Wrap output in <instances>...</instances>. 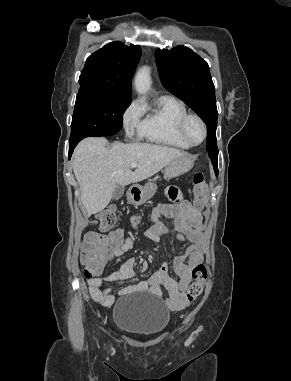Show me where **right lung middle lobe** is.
<instances>
[{
    "label": "right lung middle lobe",
    "mask_w": 291,
    "mask_h": 381,
    "mask_svg": "<svg viewBox=\"0 0 291 381\" xmlns=\"http://www.w3.org/2000/svg\"><path fill=\"white\" fill-rule=\"evenodd\" d=\"M131 98L92 90L79 91L72 117L69 142H79L88 136H106L122 127V115Z\"/></svg>",
    "instance_id": "right-lung-middle-lobe-1"
}]
</instances>
